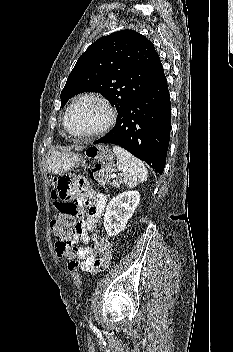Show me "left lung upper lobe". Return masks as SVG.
Wrapping results in <instances>:
<instances>
[{
    "mask_svg": "<svg viewBox=\"0 0 233 352\" xmlns=\"http://www.w3.org/2000/svg\"><path fill=\"white\" fill-rule=\"evenodd\" d=\"M164 75L153 43L134 30L101 37L79 57L61 91V107L82 92L101 93L118 114Z\"/></svg>",
    "mask_w": 233,
    "mask_h": 352,
    "instance_id": "left-lung-upper-lobe-1",
    "label": "left lung upper lobe"
}]
</instances>
